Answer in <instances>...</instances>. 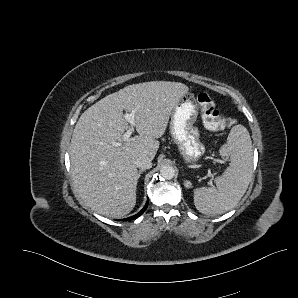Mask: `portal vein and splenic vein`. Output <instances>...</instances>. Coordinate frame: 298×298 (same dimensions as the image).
<instances>
[{"label": "portal vein and splenic vein", "mask_w": 298, "mask_h": 298, "mask_svg": "<svg viewBox=\"0 0 298 298\" xmlns=\"http://www.w3.org/2000/svg\"><path fill=\"white\" fill-rule=\"evenodd\" d=\"M135 110H132L131 113H125L124 114V118L125 120L130 124V128L123 134V140L127 141L131 134L134 132V126H135ZM114 146H119L120 143L115 142L113 143ZM217 162H219L220 160L216 159Z\"/></svg>", "instance_id": "obj_1"}]
</instances>
